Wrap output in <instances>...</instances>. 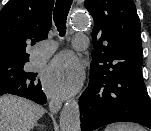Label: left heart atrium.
<instances>
[{"mask_svg":"<svg viewBox=\"0 0 151 131\" xmlns=\"http://www.w3.org/2000/svg\"><path fill=\"white\" fill-rule=\"evenodd\" d=\"M42 79L49 95L63 98L73 94L80 87L83 70L72 55L62 54L48 65Z\"/></svg>","mask_w":151,"mask_h":131,"instance_id":"left-heart-atrium-1","label":"left heart atrium"}]
</instances>
